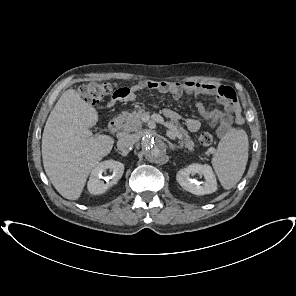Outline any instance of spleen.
<instances>
[{
    "instance_id": "obj_1",
    "label": "spleen",
    "mask_w": 296,
    "mask_h": 296,
    "mask_svg": "<svg viewBox=\"0 0 296 296\" xmlns=\"http://www.w3.org/2000/svg\"><path fill=\"white\" fill-rule=\"evenodd\" d=\"M249 142L243 129L231 128L220 140L212 166L224 189L233 188L243 176Z\"/></svg>"
}]
</instances>
